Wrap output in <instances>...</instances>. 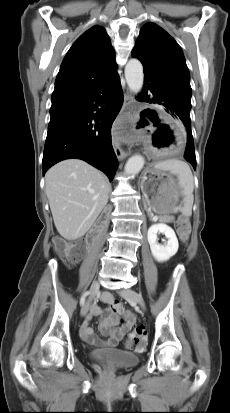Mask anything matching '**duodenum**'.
<instances>
[{"label":"duodenum","mask_w":230,"mask_h":413,"mask_svg":"<svg viewBox=\"0 0 230 413\" xmlns=\"http://www.w3.org/2000/svg\"><path fill=\"white\" fill-rule=\"evenodd\" d=\"M95 235V232H92L91 234H90V237H93Z\"/></svg>","instance_id":"duodenum-1"}]
</instances>
